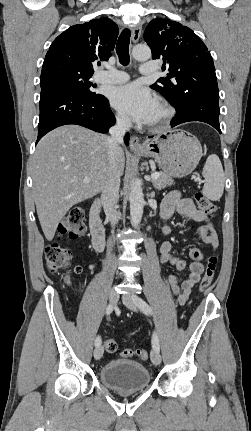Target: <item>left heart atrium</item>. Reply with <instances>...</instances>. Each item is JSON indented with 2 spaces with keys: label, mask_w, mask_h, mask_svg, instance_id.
<instances>
[{
  "label": "left heart atrium",
  "mask_w": 251,
  "mask_h": 431,
  "mask_svg": "<svg viewBox=\"0 0 251 431\" xmlns=\"http://www.w3.org/2000/svg\"><path fill=\"white\" fill-rule=\"evenodd\" d=\"M114 108L139 123H150L159 103L141 84L133 82L116 87L111 94Z\"/></svg>",
  "instance_id": "1"
}]
</instances>
